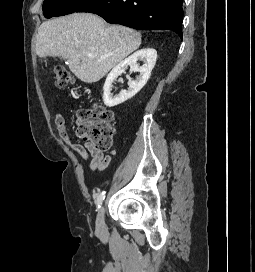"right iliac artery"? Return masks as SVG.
<instances>
[{"label": "right iliac artery", "instance_id": "82829eb1", "mask_svg": "<svg viewBox=\"0 0 255 272\" xmlns=\"http://www.w3.org/2000/svg\"><path fill=\"white\" fill-rule=\"evenodd\" d=\"M105 194L106 192L103 191L102 193L99 194L98 198L96 199V205H97V208L99 209L105 199Z\"/></svg>", "mask_w": 255, "mask_h": 272}]
</instances>
